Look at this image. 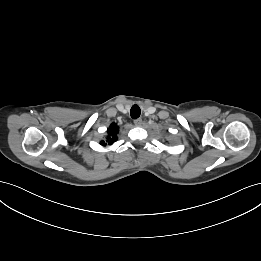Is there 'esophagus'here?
<instances>
[{"label": "esophagus", "mask_w": 261, "mask_h": 261, "mask_svg": "<svg viewBox=\"0 0 261 261\" xmlns=\"http://www.w3.org/2000/svg\"><path fill=\"white\" fill-rule=\"evenodd\" d=\"M134 124H135L136 126H142L143 121H142L141 118H138V119H136V120L134 121Z\"/></svg>", "instance_id": "34e87169"}]
</instances>
